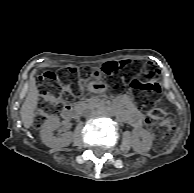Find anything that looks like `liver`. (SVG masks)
<instances>
[{
	"instance_id": "liver-1",
	"label": "liver",
	"mask_w": 194,
	"mask_h": 193,
	"mask_svg": "<svg viewBox=\"0 0 194 193\" xmlns=\"http://www.w3.org/2000/svg\"><path fill=\"white\" fill-rule=\"evenodd\" d=\"M35 73L36 70H33L31 72L29 78V91L20 110L21 120L23 122L24 127L27 129L30 128L33 124L35 117V109L39 100V91L37 89L34 78Z\"/></svg>"
}]
</instances>
